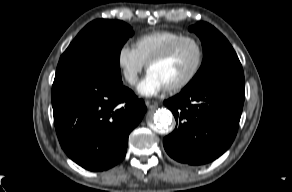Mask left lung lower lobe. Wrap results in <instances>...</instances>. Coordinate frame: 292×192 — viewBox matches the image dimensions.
Instances as JSON below:
<instances>
[{"mask_svg": "<svg viewBox=\"0 0 292 192\" xmlns=\"http://www.w3.org/2000/svg\"><path fill=\"white\" fill-rule=\"evenodd\" d=\"M245 98V83L203 84L164 101L175 117V130L164 138L170 157L189 165L211 162L232 144Z\"/></svg>", "mask_w": 292, "mask_h": 192, "instance_id": "obj_1", "label": "left lung lower lobe"}]
</instances>
